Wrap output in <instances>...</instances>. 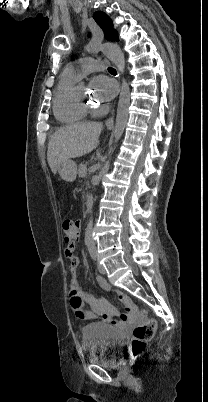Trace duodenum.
<instances>
[{"instance_id": "duodenum-1", "label": "duodenum", "mask_w": 208, "mask_h": 402, "mask_svg": "<svg viewBox=\"0 0 208 402\" xmlns=\"http://www.w3.org/2000/svg\"><path fill=\"white\" fill-rule=\"evenodd\" d=\"M92 206H93V198L90 196V197L87 198V201H86V208H87L88 210H90V209L92 208Z\"/></svg>"}]
</instances>
